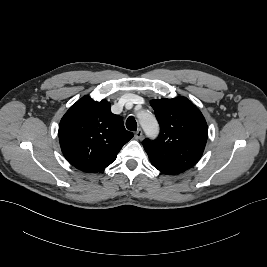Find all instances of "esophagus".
Listing matches in <instances>:
<instances>
[{
	"label": "esophagus",
	"instance_id": "esophagus-1",
	"mask_svg": "<svg viewBox=\"0 0 267 267\" xmlns=\"http://www.w3.org/2000/svg\"><path fill=\"white\" fill-rule=\"evenodd\" d=\"M142 136H143V132H142V130L139 128V129L135 132V137H136L137 139H140V138H142Z\"/></svg>",
	"mask_w": 267,
	"mask_h": 267
}]
</instances>
